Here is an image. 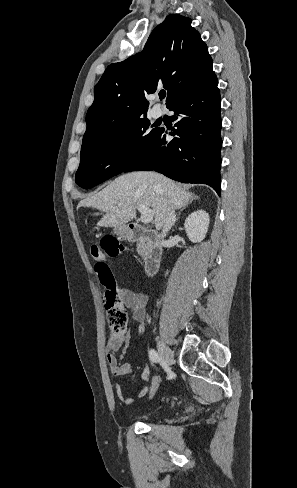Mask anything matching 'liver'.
<instances>
[{
	"label": "liver",
	"mask_w": 297,
	"mask_h": 488,
	"mask_svg": "<svg viewBox=\"0 0 297 488\" xmlns=\"http://www.w3.org/2000/svg\"><path fill=\"white\" fill-rule=\"evenodd\" d=\"M192 197L169 178L156 173L139 171L123 174L97 194L81 200L79 207H91L105 212L97 223L102 227L125 226L136 216L138 204L152 208L156 228L164 225L167 209L183 207Z\"/></svg>",
	"instance_id": "1"
}]
</instances>
